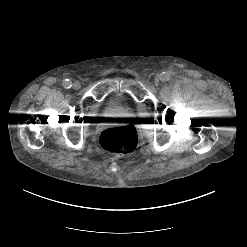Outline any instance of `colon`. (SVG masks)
I'll use <instances>...</instances> for the list:
<instances>
[{
	"label": "colon",
	"mask_w": 247,
	"mask_h": 247,
	"mask_svg": "<svg viewBox=\"0 0 247 247\" xmlns=\"http://www.w3.org/2000/svg\"><path fill=\"white\" fill-rule=\"evenodd\" d=\"M137 142V132L130 125L105 129L99 138V143L105 151L119 157L132 154Z\"/></svg>",
	"instance_id": "colon-1"
}]
</instances>
